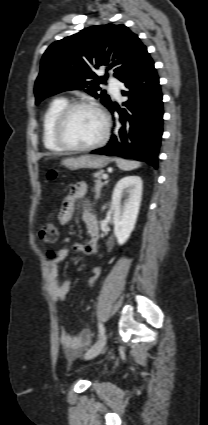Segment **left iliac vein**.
Listing matches in <instances>:
<instances>
[{
	"label": "left iliac vein",
	"instance_id": "obj_1",
	"mask_svg": "<svg viewBox=\"0 0 208 425\" xmlns=\"http://www.w3.org/2000/svg\"><path fill=\"white\" fill-rule=\"evenodd\" d=\"M107 342V335L104 333L101 338L97 341V343L91 347L85 354L84 358L85 359H92L94 357H96L97 355H99Z\"/></svg>",
	"mask_w": 208,
	"mask_h": 425
}]
</instances>
